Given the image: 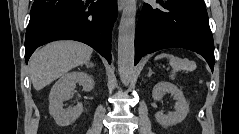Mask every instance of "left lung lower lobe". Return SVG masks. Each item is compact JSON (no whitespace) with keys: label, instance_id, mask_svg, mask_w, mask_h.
<instances>
[{"label":"left lung lower lobe","instance_id":"1","mask_svg":"<svg viewBox=\"0 0 239 134\" xmlns=\"http://www.w3.org/2000/svg\"><path fill=\"white\" fill-rule=\"evenodd\" d=\"M145 3L135 35V65L141 57L164 48H185L202 55L214 69V42L204 0H157Z\"/></svg>","mask_w":239,"mask_h":134}]
</instances>
